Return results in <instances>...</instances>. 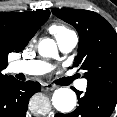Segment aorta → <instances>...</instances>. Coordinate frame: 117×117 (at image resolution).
<instances>
[{"label": "aorta", "instance_id": "obj_1", "mask_svg": "<svg viewBox=\"0 0 117 117\" xmlns=\"http://www.w3.org/2000/svg\"><path fill=\"white\" fill-rule=\"evenodd\" d=\"M39 54L43 57H56L58 54L57 46L52 39H43L38 45ZM77 103V96L69 88H59L54 91L52 104L61 113L72 111Z\"/></svg>", "mask_w": 117, "mask_h": 117}]
</instances>
